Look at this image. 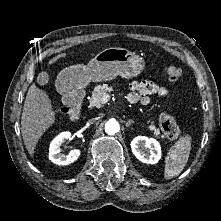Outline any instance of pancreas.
<instances>
[{
  "instance_id": "pancreas-1",
  "label": "pancreas",
  "mask_w": 221,
  "mask_h": 221,
  "mask_svg": "<svg viewBox=\"0 0 221 221\" xmlns=\"http://www.w3.org/2000/svg\"><path fill=\"white\" fill-rule=\"evenodd\" d=\"M113 92L112 86H109L107 84L103 85H97L94 90L92 91V96L89 100L91 107L101 108L105 103L102 102V97L105 94H109ZM148 123H150L149 129L151 131H154V135L158 136L160 135V130L154 126V122L151 120H148ZM161 138H164L163 135L160 136Z\"/></svg>"
}]
</instances>
